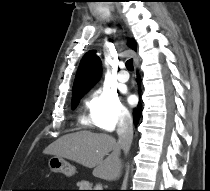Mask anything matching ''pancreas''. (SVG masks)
Wrapping results in <instances>:
<instances>
[{"label":"pancreas","mask_w":210,"mask_h":191,"mask_svg":"<svg viewBox=\"0 0 210 191\" xmlns=\"http://www.w3.org/2000/svg\"><path fill=\"white\" fill-rule=\"evenodd\" d=\"M78 186L80 187V189H91L92 184L87 181H81L78 183Z\"/></svg>","instance_id":"pancreas-1"}]
</instances>
